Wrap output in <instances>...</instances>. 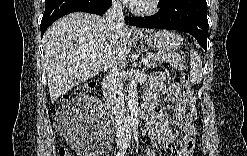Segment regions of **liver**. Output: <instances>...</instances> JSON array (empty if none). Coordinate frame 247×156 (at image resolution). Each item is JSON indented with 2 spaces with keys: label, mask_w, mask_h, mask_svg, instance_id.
I'll return each instance as SVG.
<instances>
[{
  "label": "liver",
  "mask_w": 247,
  "mask_h": 156,
  "mask_svg": "<svg viewBox=\"0 0 247 156\" xmlns=\"http://www.w3.org/2000/svg\"><path fill=\"white\" fill-rule=\"evenodd\" d=\"M130 36L127 27L111 31L103 17L90 13L74 12L54 22L42 39L51 102L110 64L122 63Z\"/></svg>",
  "instance_id": "1"
}]
</instances>
